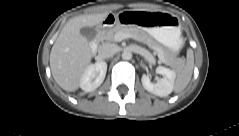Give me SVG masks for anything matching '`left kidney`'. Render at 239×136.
I'll use <instances>...</instances> for the list:
<instances>
[{
  "instance_id": "5707ae66",
  "label": "left kidney",
  "mask_w": 239,
  "mask_h": 136,
  "mask_svg": "<svg viewBox=\"0 0 239 136\" xmlns=\"http://www.w3.org/2000/svg\"><path fill=\"white\" fill-rule=\"evenodd\" d=\"M156 71L161 74L163 78L159 79L156 83H152L150 77L143 74L141 79L142 85L148 92L159 97L168 96L173 91L176 73L163 66H158Z\"/></svg>"
}]
</instances>
